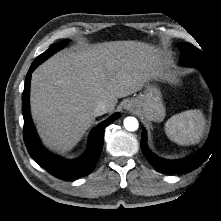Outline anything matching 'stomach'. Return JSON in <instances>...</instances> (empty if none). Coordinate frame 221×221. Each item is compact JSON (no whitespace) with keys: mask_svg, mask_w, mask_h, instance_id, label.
<instances>
[{"mask_svg":"<svg viewBox=\"0 0 221 221\" xmlns=\"http://www.w3.org/2000/svg\"><path fill=\"white\" fill-rule=\"evenodd\" d=\"M136 103L139 112L148 120L161 122L165 117V107L160 91L148 85L143 94L131 99Z\"/></svg>","mask_w":221,"mask_h":221,"instance_id":"0dacf381","label":"stomach"}]
</instances>
